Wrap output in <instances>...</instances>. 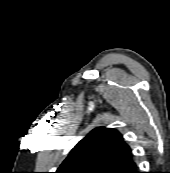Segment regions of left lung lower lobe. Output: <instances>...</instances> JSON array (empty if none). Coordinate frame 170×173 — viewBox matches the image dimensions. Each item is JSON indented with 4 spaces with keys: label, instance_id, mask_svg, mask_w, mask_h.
I'll list each match as a JSON object with an SVG mask.
<instances>
[{
    "label": "left lung lower lobe",
    "instance_id": "0a47b994",
    "mask_svg": "<svg viewBox=\"0 0 170 173\" xmlns=\"http://www.w3.org/2000/svg\"><path fill=\"white\" fill-rule=\"evenodd\" d=\"M120 173H139V172H138L136 163L135 162H132L127 167H125L124 169H122L120 171Z\"/></svg>",
    "mask_w": 170,
    "mask_h": 173
}]
</instances>
